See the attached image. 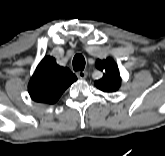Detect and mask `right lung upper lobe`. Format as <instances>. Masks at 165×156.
Listing matches in <instances>:
<instances>
[{"mask_svg":"<svg viewBox=\"0 0 165 156\" xmlns=\"http://www.w3.org/2000/svg\"><path fill=\"white\" fill-rule=\"evenodd\" d=\"M77 77L66 67L45 56L32 76L28 90L31 98L40 103L54 104Z\"/></svg>","mask_w":165,"mask_h":156,"instance_id":"cb5924a9","label":"right lung upper lobe"}]
</instances>
